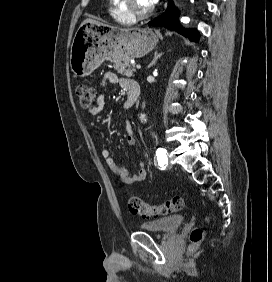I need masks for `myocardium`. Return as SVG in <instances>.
<instances>
[{
  "label": "myocardium",
  "instance_id": "myocardium-1",
  "mask_svg": "<svg viewBox=\"0 0 272 282\" xmlns=\"http://www.w3.org/2000/svg\"><path fill=\"white\" fill-rule=\"evenodd\" d=\"M122 1H123L122 3L123 9L134 19L144 18L150 15L153 11V7L145 11H139L134 4V0H122Z\"/></svg>",
  "mask_w": 272,
  "mask_h": 282
}]
</instances>
